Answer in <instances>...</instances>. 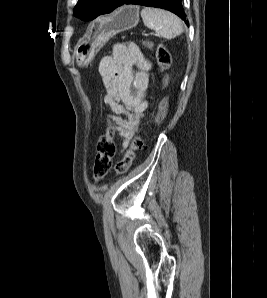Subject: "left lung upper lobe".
Returning a JSON list of instances; mask_svg holds the SVG:
<instances>
[{
	"label": "left lung upper lobe",
	"instance_id": "obj_1",
	"mask_svg": "<svg viewBox=\"0 0 267 298\" xmlns=\"http://www.w3.org/2000/svg\"><path fill=\"white\" fill-rule=\"evenodd\" d=\"M115 2L116 0H79L73 13L81 20H92L107 13Z\"/></svg>",
	"mask_w": 267,
	"mask_h": 298
}]
</instances>
